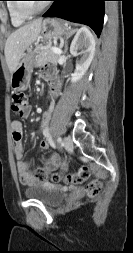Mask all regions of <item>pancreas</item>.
I'll return each mask as SVG.
<instances>
[{
  "label": "pancreas",
  "instance_id": "pancreas-1",
  "mask_svg": "<svg viewBox=\"0 0 133 253\" xmlns=\"http://www.w3.org/2000/svg\"><path fill=\"white\" fill-rule=\"evenodd\" d=\"M35 66H41L46 63L57 64L60 57L59 54L53 52L52 47L37 48L35 50Z\"/></svg>",
  "mask_w": 133,
  "mask_h": 253
}]
</instances>
